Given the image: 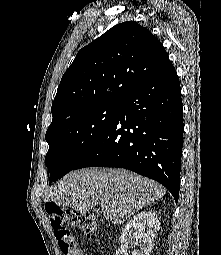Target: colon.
Instances as JSON below:
<instances>
[{"instance_id":"5ec220e1","label":"colon","mask_w":221,"mask_h":255,"mask_svg":"<svg viewBox=\"0 0 221 255\" xmlns=\"http://www.w3.org/2000/svg\"><path fill=\"white\" fill-rule=\"evenodd\" d=\"M48 212L61 252L64 255H82L70 229L79 228L87 236L94 237L98 231L96 218L90 214L61 209L56 204H51Z\"/></svg>"}]
</instances>
